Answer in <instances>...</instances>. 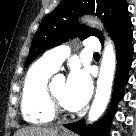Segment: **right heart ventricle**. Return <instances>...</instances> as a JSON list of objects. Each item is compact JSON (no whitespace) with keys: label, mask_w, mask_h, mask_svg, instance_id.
<instances>
[{"label":"right heart ventricle","mask_w":136,"mask_h":136,"mask_svg":"<svg viewBox=\"0 0 136 136\" xmlns=\"http://www.w3.org/2000/svg\"><path fill=\"white\" fill-rule=\"evenodd\" d=\"M54 70L41 60L27 72L21 93V110L24 119L32 124L49 123L54 113L47 97V85Z\"/></svg>","instance_id":"1"}]
</instances>
